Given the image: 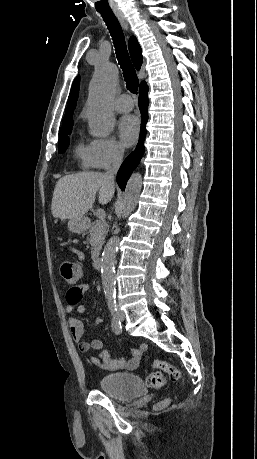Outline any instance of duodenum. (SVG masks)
<instances>
[{"mask_svg":"<svg viewBox=\"0 0 257 459\" xmlns=\"http://www.w3.org/2000/svg\"><path fill=\"white\" fill-rule=\"evenodd\" d=\"M87 223L88 222H85V224ZM94 266L98 270L102 267V258L99 255L94 256Z\"/></svg>","mask_w":257,"mask_h":459,"instance_id":"duodenum-1","label":"duodenum"}]
</instances>
